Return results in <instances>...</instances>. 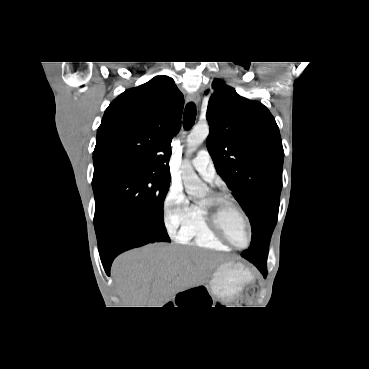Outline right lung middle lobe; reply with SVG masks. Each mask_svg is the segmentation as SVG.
I'll return each mask as SVG.
<instances>
[{"mask_svg": "<svg viewBox=\"0 0 369 369\" xmlns=\"http://www.w3.org/2000/svg\"><path fill=\"white\" fill-rule=\"evenodd\" d=\"M170 177L130 166L94 167V227L97 237L116 221L142 227L157 242H170L164 218V199Z\"/></svg>", "mask_w": 369, "mask_h": 369, "instance_id": "dd1d6c3e", "label": "right lung middle lobe"}]
</instances>
